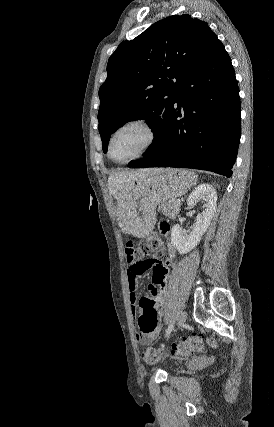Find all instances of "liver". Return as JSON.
<instances>
[{
  "label": "liver",
  "instance_id": "1",
  "mask_svg": "<svg viewBox=\"0 0 274 427\" xmlns=\"http://www.w3.org/2000/svg\"><path fill=\"white\" fill-rule=\"evenodd\" d=\"M155 172H157L156 168H153V170H149L148 168V170H137V172H117V174H110L108 178L109 190L117 202H123L127 198L128 186H131L134 176H137L140 180H144L146 176L155 174Z\"/></svg>",
  "mask_w": 274,
  "mask_h": 427
}]
</instances>
